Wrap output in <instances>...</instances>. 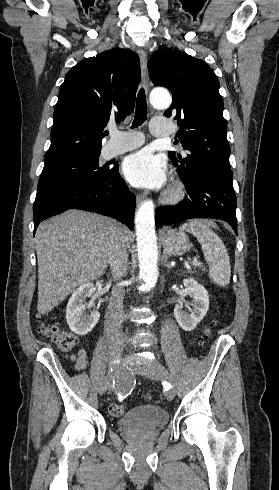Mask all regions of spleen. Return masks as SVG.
I'll return each instance as SVG.
<instances>
[{"label": "spleen", "mask_w": 279, "mask_h": 490, "mask_svg": "<svg viewBox=\"0 0 279 490\" xmlns=\"http://www.w3.org/2000/svg\"><path fill=\"white\" fill-rule=\"evenodd\" d=\"M211 228H217L213 222L205 220H190L180 226V230L190 232L197 238L204 258L209 266V276L215 284L226 288L230 282L231 266L228 252L219 236L212 232Z\"/></svg>", "instance_id": "spleen-1"}]
</instances>
